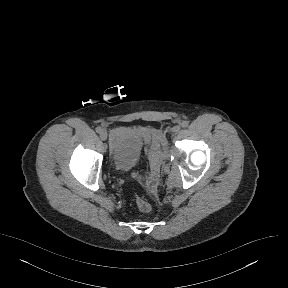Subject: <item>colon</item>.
I'll return each instance as SVG.
<instances>
[{"label":"colon","mask_w":288,"mask_h":288,"mask_svg":"<svg viewBox=\"0 0 288 288\" xmlns=\"http://www.w3.org/2000/svg\"><path fill=\"white\" fill-rule=\"evenodd\" d=\"M135 204L137 209L141 212V213H147L151 210V206L148 203V201L141 197V196H136L135 197Z\"/></svg>","instance_id":"obj_1"}]
</instances>
